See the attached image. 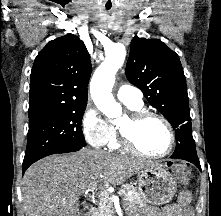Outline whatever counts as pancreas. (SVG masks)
<instances>
[{
    "instance_id": "1",
    "label": "pancreas",
    "mask_w": 221,
    "mask_h": 216,
    "mask_svg": "<svg viewBox=\"0 0 221 216\" xmlns=\"http://www.w3.org/2000/svg\"><path fill=\"white\" fill-rule=\"evenodd\" d=\"M123 190V206L125 207L126 211L131 212L135 206L144 204L143 199L134 186L126 185ZM127 191H132V195H127ZM93 216H115L113 203L110 197H103L101 199L100 206L95 211Z\"/></svg>"
}]
</instances>
